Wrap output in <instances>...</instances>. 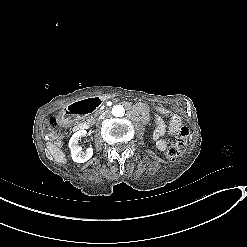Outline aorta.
Listing matches in <instances>:
<instances>
[{"label":"aorta","mask_w":247,"mask_h":247,"mask_svg":"<svg viewBox=\"0 0 247 247\" xmlns=\"http://www.w3.org/2000/svg\"><path fill=\"white\" fill-rule=\"evenodd\" d=\"M125 114V109L122 105H115L112 108V115L115 117H122Z\"/></svg>","instance_id":"aorta-1"}]
</instances>
